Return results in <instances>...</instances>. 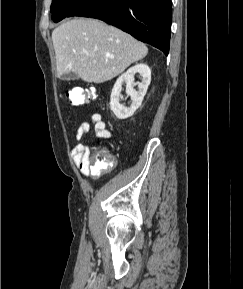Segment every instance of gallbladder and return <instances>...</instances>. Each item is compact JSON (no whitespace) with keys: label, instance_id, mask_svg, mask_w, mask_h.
<instances>
[{"label":"gallbladder","instance_id":"gallbladder-1","mask_svg":"<svg viewBox=\"0 0 243 289\" xmlns=\"http://www.w3.org/2000/svg\"><path fill=\"white\" fill-rule=\"evenodd\" d=\"M61 80H76L78 79V75L74 72H68V73H64L62 75H60L59 77Z\"/></svg>","mask_w":243,"mask_h":289}]
</instances>
